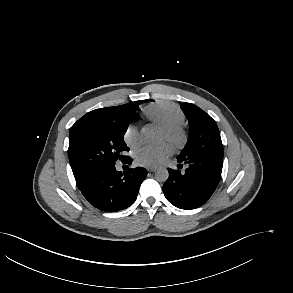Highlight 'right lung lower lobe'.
<instances>
[{
    "instance_id": "right-lung-lower-lobe-1",
    "label": "right lung lower lobe",
    "mask_w": 293,
    "mask_h": 293,
    "mask_svg": "<svg viewBox=\"0 0 293 293\" xmlns=\"http://www.w3.org/2000/svg\"><path fill=\"white\" fill-rule=\"evenodd\" d=\"M124 162L130 164L132 161L128 158ZM146 176L147 171L142 167L121 173L114 164L96 172L80 191L94 207L105 212H117L134 203Z\"/></svg>"
}]
</instances>
